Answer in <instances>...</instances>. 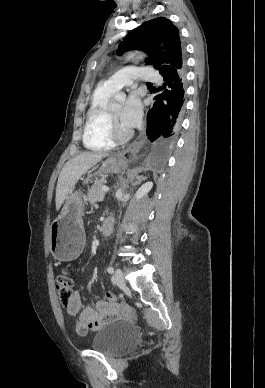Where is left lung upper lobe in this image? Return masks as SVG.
I'll use <instances>...</instances> for the list:
<instances>
[{
	"label": "left lung upper lobe",
	"instance_id": "1",
	"mask_svg": "<svg viewBox=\"0 0 265 388\" xmlns=\"http://www.w3.org/2000/svg\"><path fill=\"white\" fill-rule=\"evenodd\" d=\"M138 49L149 57L147 64L153 65L161 75L184 67V50L179 30L165 17L144 22L130 32L120 43L117 53Z\"/></svg>",
	"mask_w": 265,
	"mask_h": 388
}]
</instances>
